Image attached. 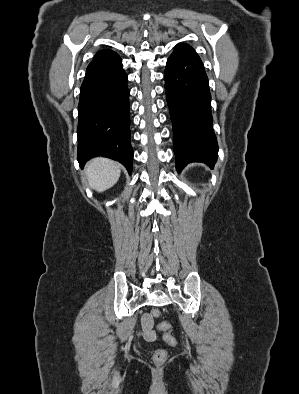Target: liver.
Instances as JSON below:
<instances>
[{"instance_id": "6515ba94", "label": "liver", "mask_w": 299, "mask_h": 394, "mask_svg": "<svg viewBox=\"0 0 299 394\" xmlns=\"http://www.w3.org/2000/svg\"><path fill=\"white\" fill-rule=\"evenodd\" d=\"M85 173L92 189L103 192L111 188L120 177V165L107 158H94L86 166Z\"/></svg>"}]
</instances>
